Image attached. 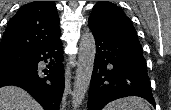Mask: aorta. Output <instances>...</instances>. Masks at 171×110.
Segmentation results:
<instances>
[{
	"label": "aorta",
	"instance_id": "obj_1",
	"mask_svg": "<svg viewBox=\"0 0 171 110\" xmlns=\"http://www.w3.org/2000/svg\"><path fill=\"white\" fill-rule=\"evenodd\" d=\"M96 54V43L91 31L86 30L79 42L76 77L73 86L72 103L77 108L89 88Z\"/></svg>",
	"mask_w": 171,
	"mask_h": 110
}]
</instances>
